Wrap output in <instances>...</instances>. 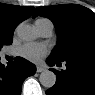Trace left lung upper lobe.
<instances>
[{"label": "left lung upper lobe", "instance_id": "left-lung-upper-lobe-1", "mask_svg": "<svg viewBox=\"0 0 95 95\" xmlns=\"http://www.w3.org/2000/svg\"><path fill=\"white\" fill-rule=\"evenodd\" d=\"M45 16L55 25L58 43L50 55L58 61H95V13L76 4L43 6L33 17Z\"/></svg>", "mask_w": 95, "mask_h": 95}]
</instances>
